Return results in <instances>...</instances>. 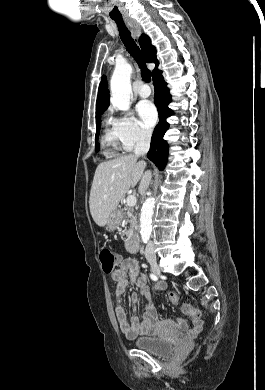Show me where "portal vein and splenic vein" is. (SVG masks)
<instances>
[{"mask_svg": "<svg viewBox=\"0 0 265 390\" xmlns=\"http://www.w3.org/2000/svg\"><path fill=\"white\" fill-rule=\"evenodd\" d=\"M136 202H137V200H136V197L134 195H130L127 197V200H126L127 206L133 207L136 205Z\"/></svg>", "mask_w": 265, "mask_h": 390, "instance_id": "obj_1", "label": "portal vein and splenic vein"}]
</instances>
